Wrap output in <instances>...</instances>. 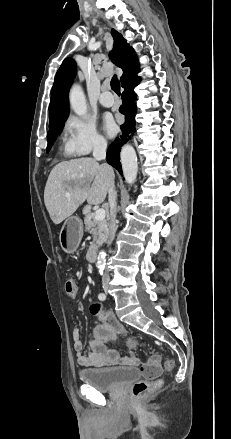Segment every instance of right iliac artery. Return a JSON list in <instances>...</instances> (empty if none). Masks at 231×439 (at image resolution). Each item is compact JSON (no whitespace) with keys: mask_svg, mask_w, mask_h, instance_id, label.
Segmentation results:
<instances>
[{"mask_svg":"<svg viewBox=\"0 0 231 439\" xmlns=\"http://www.w3.org/2000/svg\"><path fill=\"white\" fill-rule=\"evenodd\" d=\"M98 298H99L100 300L104 301V300L106 299V295H105L104 293H100V294L98 295Z\"/></svg>","mask_w":231,"mask_h":439,"instance_id":"right-iliac-artery-1","label":"right iliac artery"}]
</instances>
